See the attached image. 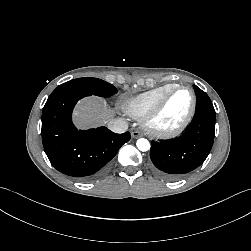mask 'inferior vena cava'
Listing matches in <instances>:
<instances>
[{
  "instance_id": "602c4592",
  "label": "inferior vena cava",
  "mask_w": 251,
  "mask_h": 251,
  "mask_svg": "<svg viewBox=\"0 0 251 251\" xmlns=\"http://www.w3.org/2000/svg\"><path fill=\"white\" fill-rule=\"evenodd\" d=\"M111 131L115 133H124L128 129V123L123 119H116L108 124Z\"/></svg>"
}]
</instances>
